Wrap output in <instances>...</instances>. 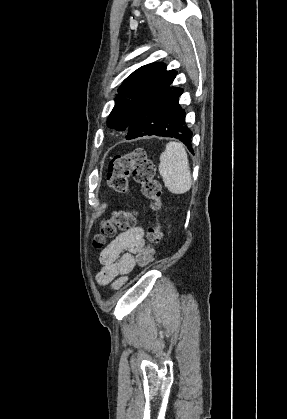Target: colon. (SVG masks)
<instances>
[{
    "label": "colon",
    "mask_w": 287,
    "mask_h": 419,
    "mask_svg": "<svg viewBox=\"0 0 287 419\" xmlns=\"http://www.w3.org/2000/svg\"><path fill=\"white\" fill-rule=\"evenodd\" d=\"M155 167L148 159L142 148L135 149L129 154L114 157L108 165L107 181L112 190L117 193L127 194L129 192L128 179H132L141 186L143 195L150 200L153 210L161 207V184L155 179ZM136 222L135 214L132 212H118L112 220L101 223L100 233L93 239V247L102 249L106 239L115 235L117 228L125 230ZM162 237L160 227L157 223L150 224L147 228L149 244L142 248L137 254V263L141 267L149 265L156 256L154 245Z\"/></svg>",
    "instance_id": "1"
}]
</instances>
